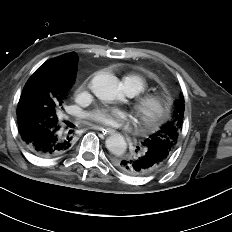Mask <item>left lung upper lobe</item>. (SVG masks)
<instances>
[{"label": "left lung upper lobe", "instance_id": "1", "mask_svg": "<svg viewBox=\"0 0 232 232\" xmlns=\"http://www.w3.org/2000/svg\"><path fill=\"white\" fill-rule=\"evenodd\" d=\"M184 111V97L183 94H180L179 98L174 103L171 119L156 133L144 139L142 144L158 147L170 156L177 144L182 129Z\"/></svg>", "mask_w": 232, "mask_h": 232}]
</instances>
